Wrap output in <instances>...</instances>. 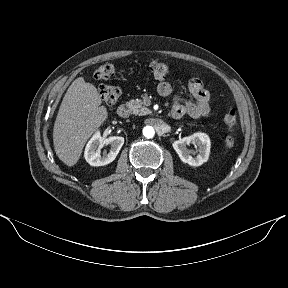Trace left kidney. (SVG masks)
<instances>
[{
    "label": "left kidney",
    "instance_id": "left-kidney-1",
    "mask_svg": "<svg viewBox=\"0 0 288 288\" xmlns=\"http://www.w3.org/2000/svg\"><path fill=\"white\" fill-rule=\"evenodd\" d=\"M193 144L198 147L199 152L197 156L193 157L194 154L191 150L187 149V146ZM210 138L205 133H194L191 136L184 137L173 143V148L179 155L182 162L187 163L191 166H200L204 162L208 161L210 154Z\"/></svg>",
    "mask_w": 288,
    "mask_h": 288
}]
</instances>
